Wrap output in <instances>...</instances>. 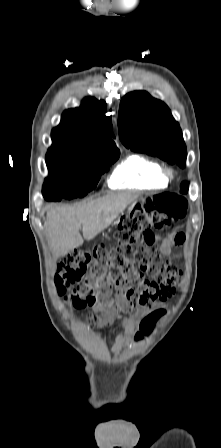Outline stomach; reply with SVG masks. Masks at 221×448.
Segmentation results:
<instances>
[{
    "label": "stomach",
    "instance_id": "0dacf381",
    "mask_svg": "<svg viewBox=\"0 0 221 448\" xmlns=\"http://www.w3.org/2000/svg\"><path fill=\"white\" fill-rule=\"evenodd\" d=\"M137 205L138 204L136 202L130 205V207L128 209V216L131 215L136 210Z\"/></svg>",
    "mask_w": 221,
    "mask_h": 448
}]
</instances>
